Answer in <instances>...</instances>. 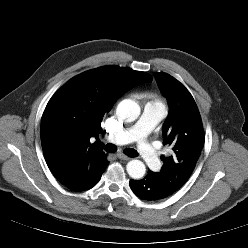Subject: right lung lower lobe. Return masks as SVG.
I'll return each instance as SVG.
<instances>
[{"label": "right lung lower lobe", "mask_w": 248, "mask_h": 248, "mask_svg": "<svg viewBox=\"0 0 248 248\" xmlns=\"http://www.w3.org/2000/svg\"><path fill=\"white\" fill-rule=\"evenodd\" d=\"M108 163L109 162L105 159L102 166L85 172L83 178L74 186L69 187V189L75 192H81L92 188L100 180L101 175L105 171Z\"/></svg>", "instance_id": "98d812e1"}]
</instances>
